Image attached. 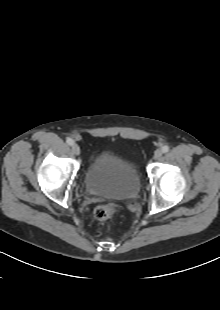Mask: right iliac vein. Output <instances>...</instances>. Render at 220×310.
<instances>
[{
    "mask_svg": "<svg viewBox=\"0 0 220 310\" xmlns=\"http://www.w3.org/2000/svg\"><path fill=\"white\" fill-rule=\"evenodd\" d=\"M72 152H73V154H75V155H79L80 154V147L77 145V144H73L72 145Z\"/></svg>",
    "mask_w": 220,
    "mask_h": 310,
    "instance_id": "63e3f726",
    "label": "right iliac vein"
}]
</instances>
